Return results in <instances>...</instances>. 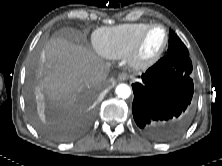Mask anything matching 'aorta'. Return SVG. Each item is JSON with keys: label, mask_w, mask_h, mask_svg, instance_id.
I'll return each mask as SVG.
<instances>
[{"label": "aorta", "mask_w": 222, "mask_h": 166, "mask_svg": "<svg viewBox=\"0 0 222 166\" xmlns=\"http://www.w3.org/2000/svg\"><path fill=\"white\" fill-rule=\"evenodd\" d=\"M118 97L126 99L131 95V89L127 84H119L115 90Z\"/></svg>", "instance_id": "1"}]
</instances>
